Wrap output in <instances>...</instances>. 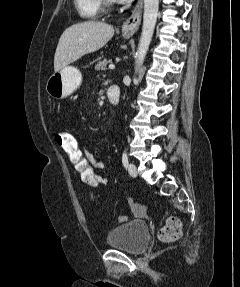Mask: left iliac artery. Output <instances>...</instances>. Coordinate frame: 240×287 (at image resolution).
<instances>
[{
  "label": "left iliac artery",
  "instance_id": "44dca946",
  "mask_svg": "<svg viewBox=\"0 0 240 287\" xmlns=\"http://www.w3.org/2000/svg\"><path fill=\"white\" fill-rule=\"evenodd\" d=\"M122 163H123L125 168L128 167V156H127L126 152H123V154H122Z\"/></svg>",
  "mask_w": 240,
  "mask_h": 287
}]
</instances>
